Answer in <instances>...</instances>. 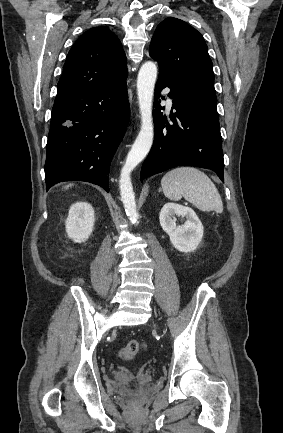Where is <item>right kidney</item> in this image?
<instances>
[{"label": "right kidney", "mask_w": 283, "mask_h": 433, "mask_svg": "<svg viewBox=\"0 0 283 433\" xmlns=\"http://www.w3.org/2000/svg\"><path fill=\"white\" fill-rule=\"evenodd\" d=\"M94 209L87 202H76L70 209L65 222L68 237L74 242H85L94 228Z\"/></svg>", "instance_id": "obj_1"}]
</instances>
